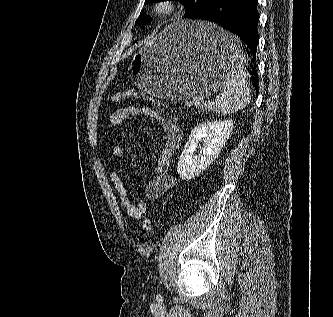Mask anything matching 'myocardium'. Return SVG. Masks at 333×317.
<instances>
[{"label":"myocardium","instance_id":"myocardium-1","mask_svg":"<svg viewBox=\"0 0 333 317\" xmlns=\"http://www.w3.org/2000/svg\"><path fill=\"white\" fill-rule=\"evenodd\" d=\"M177 10V3L174 0H158L153 4L152 12L160 18L172 16Z\"/></svg>","mask_w":333,"mask_h":317}]
</instances>
